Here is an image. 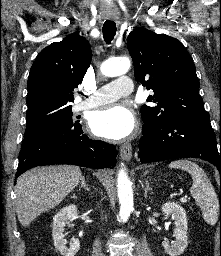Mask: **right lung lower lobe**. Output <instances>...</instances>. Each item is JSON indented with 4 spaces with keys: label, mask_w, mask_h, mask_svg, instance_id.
Masks as SVG:
<instances>
[{
    "label": "right lung lower lobe",
    "mask_w": 221,
    "mask_h": 256,
    "mask_svg": "<svg viewBox=\"0 0 221 256\" xmlns=\"http://www.w3.org/2000/svg\"><path fill=\"white\" fill-rule=\"evenodd\" d=\"M51 164L113 168L116 149L112 144L88 138L78 121L50 126L23 139L17 177L30 168Z\"/></svg>",
    "instance_id": "1"
}]
</instances>
